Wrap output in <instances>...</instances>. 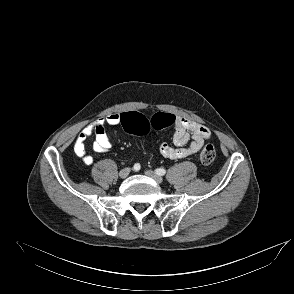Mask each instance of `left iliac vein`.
<instances>
[{
	"label": "left iliac vein",
	"instance_id": "obj_1",
	"mask_svg": "<svg viewBox=\"0 0 294 294\" xmlns=\"http://www.w3.org/2000/svg\"><path fill=\"white\" fill-rule=\"evenodd\" d=\"M145 175L152 178L153 180H155L159 184L163 182V178L161 176L157 175L156 173H154L151 170H146Z\"/></svg>",
	"mask_w": 294,
	"mask_h": 294
}]
</instances>
